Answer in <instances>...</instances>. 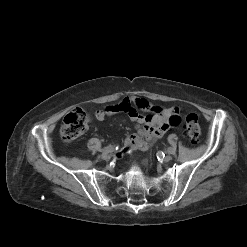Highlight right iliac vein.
<instances>
[{
    "instance_id": "1",
    "label": "right iliac vein",
    "mask_w": 247,
    "mask_h": 247,
    "mask_svg": "<svg viewBox=\"0 0 247 247\" xmlns=\"http://www.w3.org/2000/svg\"><path fill=\"white\" fill-rule=\"evenodd\" d=\"M101 157L104 160H109L110 159V154L108 152H103Z\"/></svg>"
}]
</instances>
